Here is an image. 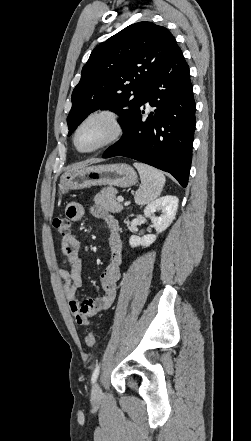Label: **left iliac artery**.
Instances as JSON below:
<instances>
[{"instance_id": "1", "label": "left iliac artery", "mask_w": 251, "mask_h": 441, "mask_svg": "<svg viewBox=\"0 0 251 441\" xmlns=\"http://www.w3.org/2000/svg\"><path fill=\"white\" fill-rule=\"evenodd\" d=\"M99 371H100V364L96 366V368L93 371L92 377H91V382L94 383L99 375Z\"/></svg>"}]
</instances>
